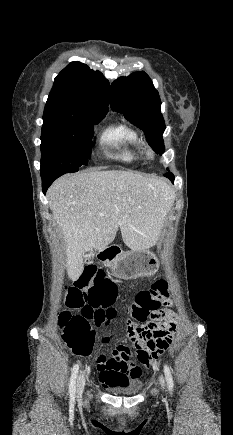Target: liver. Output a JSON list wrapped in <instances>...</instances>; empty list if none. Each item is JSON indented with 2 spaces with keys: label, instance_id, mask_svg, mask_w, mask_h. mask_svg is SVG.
I'll return each instance as SVG.
<instances>
[{
  "label": "liver",
  "instance_id": "obj_1",
  "mask_svg": "<svg viewBox=\"0 0 233 435\" xmlns=\"http://www.w3.org/2000/svg\"><path fill=\"white\" fill-rule=\"evenodd\" d=\"M47 197L66 243L68 276L76 280L83 271L84 254L106 248L118 228L132 250L157 244L176 196L162 178L108 170L62 176Z\"/></svg>",
  "mask_w": 233,
  "mask_h": 435
}]
</instances>
